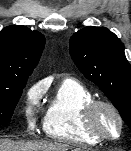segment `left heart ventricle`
<instances>
[{
  "instance_id": "left-heart-ventricle-1",
  "label": "left heart ventricle",
  "mask_w": 131,
  "mask_h": 151,
  "mask_svg": "<svg viewBox=\"0 0 131 151\" xmlns=\"http://www.w3.org/2000/svg\"><path fill=\"white\" fill-rule=\"evenodd\" d=\"M97 124L102 132L109 136H115L119 130L116 117L107 109H101L97 116Z\"/></svg>"
}]
</instances>
